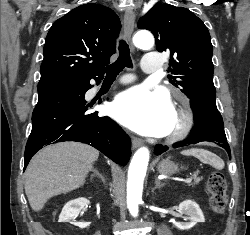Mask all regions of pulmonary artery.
Returning <instances> with one entry per match:
<instances>
[{
	"instance_id": "obj_1",
	"label": "pulmonary artery",
	"mask_w": 250,
	"mask_h": 235,
	"mask_svg": "<svg viewBox=\"0 0 250 235\" xmlns=\"http://www.w3.org/2000/svg\"><path fill=\"white\" fill-rule=\"evenodd\" d=\"M162 67V60L157 52H149L144 56L141 68L144 72H156ZM129 79L126 80L128 82Z\"/></svg>"
}]
</instances>
